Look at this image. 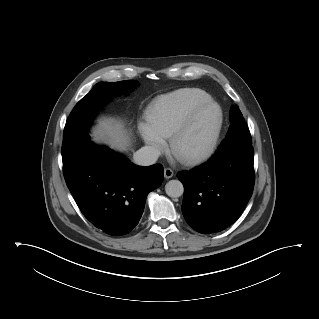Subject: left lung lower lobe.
Wrapping results in <instances>:
<instances>
[{
    "label": "left lung lower lobe",
    "instance_id": "left-lung-lower-lobe-1",
    "mask_svg": "<svg viewBox=\"0 0 319 319\" xmlns=\"http://www.w3.org/2000/svg\"><path fill=\"white\" fill-rule=\"evenodd\" d=\"M251 144L218 148L205 164L178 173L184 185L182 213L197 232H220L232 225L247 205L254 186Z\"/></svg>",
    "mask_w": 319,
    "mask_h": 319
}]
</instances>
